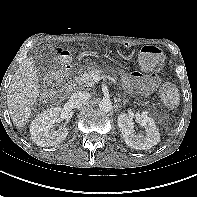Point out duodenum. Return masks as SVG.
<instances>
[{
    "mask_svg": "<svg viewBox=\"0 0 197 197\" xmlns=\"http://www.w3.org/2000/svg\"><path fill=\"white\" fill-rule=\"evenodd\" d=\"M73 88H74L73 83H68L65 90L67 93H70L73 90Z\"/></svg>",
    "mask_w": 197,
    "mask_h": 197,
    "instance_id": "duodenum-1",
    "label": "duodenum"
}]
</instances>
